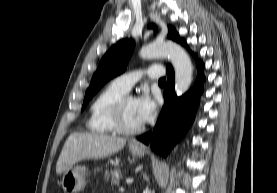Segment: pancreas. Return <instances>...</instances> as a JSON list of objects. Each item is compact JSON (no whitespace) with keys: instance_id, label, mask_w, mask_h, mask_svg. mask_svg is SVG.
Here are the masks:
<instances>
[{"instance_id":"1","label":"pancreas","mask_w":277,"mask_h":193,"mask_svg":"<svg viewBox=\"0 0 277 193\" xmlns=\"http://www.w3.org/2000/svg\"><path fill=\"white\" fill-rule=\"evenodd\" d=\"M121 170L119 168L111 169L110 171L107 170L105 172V178L106 180H111V184H119V180L121 179Z\"/></svg>"}]
</instances>
